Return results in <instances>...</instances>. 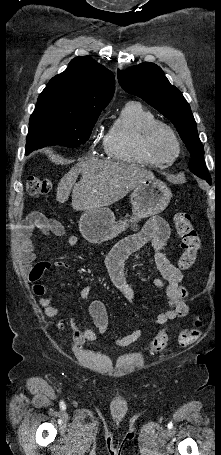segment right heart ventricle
I'll list each match as a JSON object with an SVG mask.
<instances>
[{
  "label": "right heart ventricle",
  "mask_w": 221,
  "mask_h": 455,
  "mask_svg": "<svg viewBox=\"0 0 221 455\" xmlns=\"http://www.w3.org/2000/svg\"><path fill=\"white\" fill-rule=\"evenodd\" d=\"M157 121L155 116L134 100L127 101L103 138L105 154L114 160L164 167L165 159L152 152L145 140L147 127Z\"/></svg>",
  "instance_id": "right-heart-ventricle-1"
}]
</instances>
